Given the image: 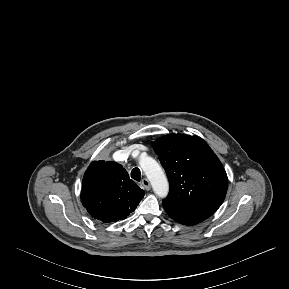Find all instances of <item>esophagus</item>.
Listing matches in <instances>:
<instances>
[{
    "label": "esophagus",
    "instance_id": "34e87169",
    "mask_svg": "<svg viewBox=\"0 0 289 289\" xmlns=\"http://www.w3.org/2000/svg\"><path fill=\"white\" fill-rule=\"evenodd\" d=\"M141 184L146 191H149L151 189V185H150V182L148 179H146V178L143 179Z\"/></svg>",
    "mask_w": 289,
    "mask_h": 289
}]
</instances>
